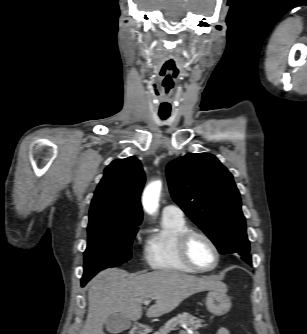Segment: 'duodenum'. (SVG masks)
<instances>
[{"label": "duodenum", "mask_w": 307, "mask_h": 334, "mask_svg": "<svg viewBox=\"0 0 307 334\" xmlns=\"http://www.w3.org/2000/svg\"><path fill=\"white\" fill-rule=\"evenodd\" d=\"M131 334H149V331L144 327H136L132 330Z\"/></svg>", "instance_id": "obj_1"}]
</instances>
